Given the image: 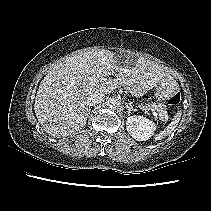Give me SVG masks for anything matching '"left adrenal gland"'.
<instances>
[{"mask_svg": "<svg viewBox=\"0 0 211 211\" xmlns=\"http://www.w3.org/2000/svg\"><path fill=\"white\" fill-rule=\"evenodd\" d=\"M126 108H127V110H128V115H130V113L133 111H136L133 107H132V105H131V103L128 105H126Z\"/></svg>", "mask_w": 211, "mask_h": 211, "instance_id": "1", "label": "left adrenal gland"}]
</instances>
